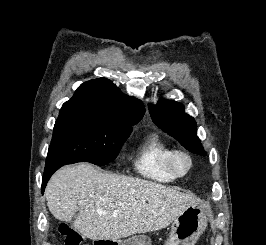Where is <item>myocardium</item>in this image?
<instances>
[{"mask_svg":"<svg viewBox=\"0 0 266 245\" xmlns=\"http://www.w3.org/2000/svg\"><path fill=\"white\" fill-rule=\"evenodd\" d=\"M180 158H185L188 161V168L184 173H180L178 170L177 163ZM169 166L176 177L184 178L188 176L194 168V157L192 153L186 149L174 148L169 156Z\"/></svg>","mask_w":266,"mask_h":245,"instance_id":"obj_1","label":"myocardium"}]
</instances>
